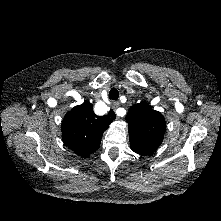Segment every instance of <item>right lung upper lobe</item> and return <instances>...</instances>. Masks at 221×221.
Listing matches in <instances>:
<instances>
[{"instance_id": "obj_1", "label": "right lung upper lobe", "mask_w": 221, "mask_h": 221, "mask_svg": "<svg viewBox=\"0 0 221 221\" xmlns=\"http://www.w3.org/2000/svg\"><path fill=\"white\" fill-rule=\"evenodd\" d=\"M111 122L108 116H97L89 102L75 106L62 122L63 143L79 156L88 157L99 148L103 132Z\"/></svg>"}]
</instances>
